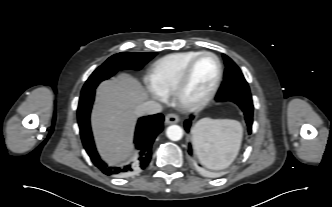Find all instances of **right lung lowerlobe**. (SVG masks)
<instances>
[{"label":"right lung lower lobe","mask_w":332,"mask_h":207,"mask_svg":"<svg viewBox=\"0 0 332 207\" xmlns=\"http://www.w3.org/2000/svg\"><path fill=\"white\" fill-rule=\"evenodd\" d=\"M94 95L95 90L82 94L77 110L82 143L91 161L106 175L127 176L140 169H145L151 160L152 144L156 136L163 129V115L155 114L140 118L136 127L134 139L135 147L139 152L138 159L125 166L110 167L100 158L93 141L90 127V112L94 101Z\"/></svg>","instance_id":"obj_1"}]
</instances>
